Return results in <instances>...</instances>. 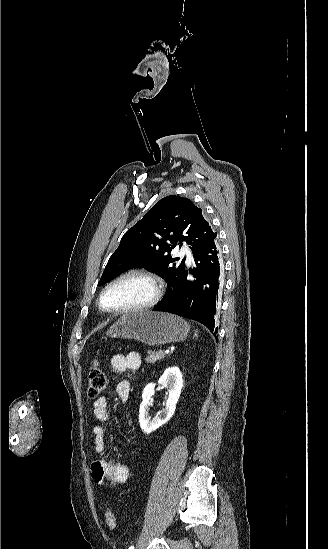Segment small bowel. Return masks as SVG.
Masks as SVG:
<instances>
[{"instance_id":"c3829d8e","label":"small bowel","mask_w":328,"mask_h":549,"mask_svg":"<svg viewBox=\"0 0 328 549\" xmlns=\"http://www.w3.org/2000/svg\"><path fill=\"white\" fill-rule=\"evenodd\" d=\"M142 364L141 357L136 352L128 354H116L110 360V369L115 373L125 371H137ZM130 383L122 380L116 387V393L122 401H127L130 396ZM93 416L98 422L93 426L94 451L98 458L92 463V474L96 483L111 486L125 484L130 478V470L127 465L122 464L105 452V424L109 420V404L106 397H100L93 404Z\"/></svg>"}]
</instances>
